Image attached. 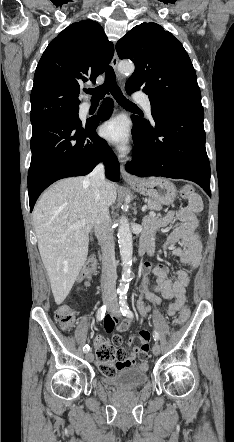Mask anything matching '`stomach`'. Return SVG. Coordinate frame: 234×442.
Returning a JSON list of instances; mask_svg holds the SVG:
<instances>
[{"label": "stomach", "instance_id": "obj_1", "mask_svg": "<svg viewBox=\"0 0 234 442\" xmlns=\"http://www.w3.org/2000/svg\"><path fill=\"white\" fill-rule=\"evenodd\" d=\"M131 186L138 192L149 196L154 201L163 205H170L174 202L177 189L175 185L164 178L142 179Z\"/></svg>", "mask_w": 234, "mask_h": 442}]
</instances>
